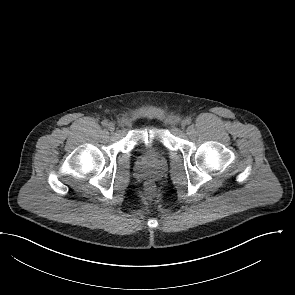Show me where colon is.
<instances>
[{"label": "colon", "mask_w": 295, "mask_h": 295, "mask_svg": "<svg viewBox=\"0 0 295 295\" xmlns=\"http://www.w3.org/2000/svg\"><path fill=\"white\" fill-rule=\"evenodd\" d=\"M145 189L147 191L148 194H152L155 190V186L152 182H147L145 185Z\"/></svg>", "instance_id": "5ec220e1"}]
</instances>
